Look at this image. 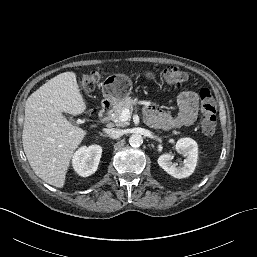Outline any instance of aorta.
Instances as JSON below:
<instances>
[{"label": "aorta", "mask_w": 257, "mask_h": 257, "mask_svg": "<svg viewBox=\"0 0 257 257\" xmlns=\"http://www.w3.org/2000/svg\"><path fill=\"white\" fill-rule=\"evenodd\" d=\"M143 143V137L140 134H132L129 137V144L132 147H139Z\"/></svg>", "instance_id": "1"}]
</instances>
